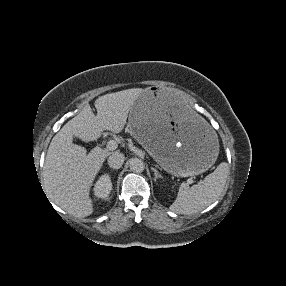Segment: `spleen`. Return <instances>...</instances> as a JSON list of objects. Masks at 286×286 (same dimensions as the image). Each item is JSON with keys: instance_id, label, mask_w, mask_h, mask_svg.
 I'll list each match as a JSON object with an SVG mask.
<instances>
[{"instance_id": "spleen-1", "label": "spleen", "mask_w": 286, "mask_h": 286, "mask_svg": "<svg viewBox=\"0 0 286 286\" xmlns=\"http://www.w3.org/2000/svg\"><path fill=\"white\" fill-rule=\"evenodd\" d=\"M228 176V164L222 162L214 172L196 185L181 183L176 200L170 210L178 214H194L202 211L221 195Z\"/></svg>"}]
</instances>
